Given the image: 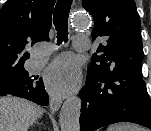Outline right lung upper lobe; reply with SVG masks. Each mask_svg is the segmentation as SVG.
Returning <instances> with one entry per match:
<instances>
[{
  "label": "right lung upper lobe",
  "mask_w": 151,
  "mask_h": 131,
  "mask_svg": "<svg viewBox=\"0 0 151 131\" xmlns=\"http://www.w3.org/2000/svg\"><path fill=\"white\" fill-rule=\"evenodd\" d=\"M56 0H8L0 10V71L24 68L30 45L49 41Z\"/></svg>",
  "instance_id": "right-lung-upper-lobe-1"
}]
</instances>
